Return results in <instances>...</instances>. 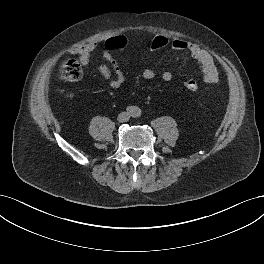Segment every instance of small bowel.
Listing matches in <instances>:
<instances>
[{
    "mask_svg": "<svg viewBox=\"0 0 264 264\" xmlns=\"http://www.w3.org/2000/svg\"><path fill=\"white\" fill-rule=\"evenodd\" d=\"M171 49L176 52H184L198 64L203 74L202 81L207 87L214 86L219 81V73L214 64L213 58L205 50L197 45L183 39L176 38L170 43ZM97 44L89 42L72 51L73 54L79 57L82 65H88L93 62L92 53L96 50ZM102 57L107 63L100 64L98 69L101 77L108 81V85L112 89H119L126 81V74L120 69L117 62L112 56V53L105 47L101 50ZM157 70L152 68L144 69L141 76L145 80H152L158 77ZM161 78L164 81H171L174 78L172 71L166 70L162 72Z\"/></svg>",
    "mask_w": 264,
    "mask_h": 264,
    "instance_id": "small-bowel-1",
    "label": "small bowel"
}]
</instances>
